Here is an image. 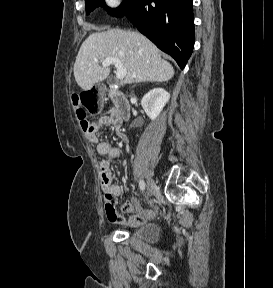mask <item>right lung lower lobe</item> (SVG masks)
Returning <instances> with one entry per match:
<instances>
[{
    "mask_svg": "<svg viewBox=\"0 0 273 288\" xmlns=\"http://www.w3.org/2000/svg\"><path fill=\"white\" fill-rule=\"evenodd\" d=\"M193 0H136L125 15L183 69L194 46Z\"/></svg>",
    "mask_w": 273,
    "mask_h": 288,
    "instance_id": "right-lung-lower-lobe-1",
    "label": "right lung lower lobe"
}]
</instances>
